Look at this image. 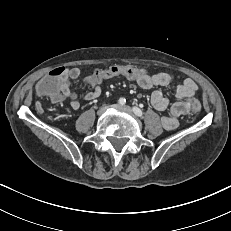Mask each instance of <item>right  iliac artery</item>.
<instances>
[{
  "label": "right iliac artery",
  "mask_w": 231,
  "mask_h": 231,
  "mask_svg": "<svg viewBox=\"0 0 231 231\" xmlns=\"http://www.w3.org/2000/svg\"><path fill=\"white\" fill-rule=\"evenodd\" d=\"M125 102H126V100H125L124 98H120V99L118 100V103H119L120 105H124Z\"/></svg>",
  "instance_id": "82829eb1"
}]
</instances>
